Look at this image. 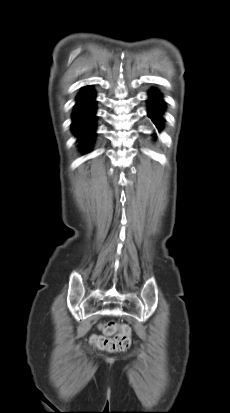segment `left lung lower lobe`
Listing matches in <instances>:
<instances>
[{
    "instance_id": "1",
    "label": "left lung lower lobe",
    "mask_w": 230,
    "mask_h": 413,
    "mask_svg": "<svg viewBox=\"0 0 230 413\" xmlns=\"http://www.w3.org/2000/svg\"><path fill=\"white\" fill-rule=\"evenodd\" d=\"M149 96L150 99L148 100V116L160 131L163 127L164 122L162 114L165 110V104L162 100L161 94L158 91L151 90L149 92ZM153 137H156V134H153Z\"/></svg>"
}]
</instances>
